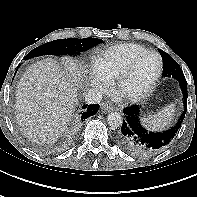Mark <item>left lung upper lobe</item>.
Returning a JSON list of instances; mask_svg holds the SVG:
<instances>
[{
    "mask_svg": "<svg viewBox=\"0 0 197 197\" xmlns=\"http://www.w3.org/2000/svg\"><path fill=\"white\" fill-rule=\"evenodd\" d=\"M160 55L163 60V76L164 77H173L177 79L179 82L186 81L182 69L179 64L166 52L159 49Z\"/></svg>",
    "mask_w": 197,
    "mask_h": 197,
    "instance_id": "1",
    "label": "left lung upper lobe"
}]
</instances>
